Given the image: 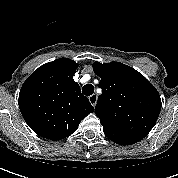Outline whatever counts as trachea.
Wrapping results in <instances>:
<instances>
[{"label":"trachea","mask_w":178,"mask_h":178,"mask_svg":"<svg viewBox=\"0 0 178 178\" xmlns=\"http://www.w3.org/2000/svg\"><path fill=\"white\" fill-rule=\"evenodd\" d=\"M82 93L86 96H90L94 93V86L92 84H86L82 87Z\"/></svg>","instance_id":"3493384b"}]
</instances>
